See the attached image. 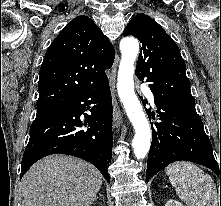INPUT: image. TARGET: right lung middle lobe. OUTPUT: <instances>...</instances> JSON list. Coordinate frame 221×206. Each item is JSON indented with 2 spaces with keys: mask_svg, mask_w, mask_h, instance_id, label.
Returning a JSON list of instances; mask_svg holds the SVG:
<instances>
[{
  "mask_svg": "<svg viewBox=\"0 0 221 206\" xmlns=\"http://www.w3.org/2000/svg\"><path fill=\"white\" fill-rule=\"evenodd\" d=\"M46 109H49V108H37V112L43 111V110H46Z\"/></svg>",
  "mask_w": 221,
  "mask_h": 206,
  "instance_id": "1",
  "label": "right lung middle lobe"
}]
</instances>
